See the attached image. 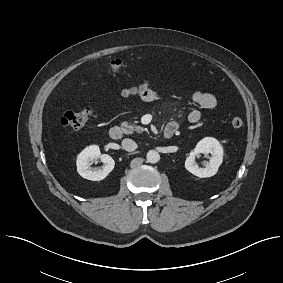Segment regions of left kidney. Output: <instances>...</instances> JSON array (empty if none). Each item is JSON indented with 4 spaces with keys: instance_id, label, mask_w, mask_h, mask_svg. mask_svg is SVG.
Wrapping results in <instances>:
<instances>
[{
    "instance_id": "obj_1",
    "label": "left kidney",
    "mask_w": 283,
    "mask_h": 283,
    "mask_svg": "<svg viewBox=\"0 0 283 283\" xmlns=\"http://www.w3.org/2000/svg\"><path fill=\"white\" fill-rule=\"evenodd\" d=\"M211 154L210 160L199 167L196 157L199 154ZM223 161V148L220 143L212 137H205L200 140L185 161V168L193 175L200 178L214 176Z\"/></svg>"
}]
</instances>
